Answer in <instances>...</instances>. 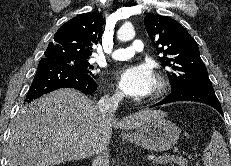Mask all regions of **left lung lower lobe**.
<instances>
[{
	"label": "left lung lower lobe",
	"mask_w": 231,
	"mask_h": 166,
	"mask_svg": "<svg viewBox=\"0 0 231 166\" xmlns=\"http://www.w3.org/2000/svg\"><path fill=\"white\" fill-rule=\"evenodd\" d=\"M177 101H195L205 103L215 108L221 115H223L221 105L217 99L212 86L204 85H186L175 91H172L164 100L153 105H163Z\"/></svg>",
	"instance_id": "0a47b994"
}]
</instances>
